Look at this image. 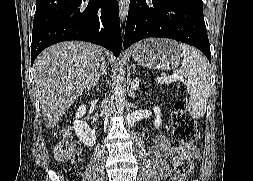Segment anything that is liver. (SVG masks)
I'll return each instance as SVG.
<instances>
[{"instance_id": "1", "label": "liver", "mask_w": 253, "mask_h": 181, "mask_svg": "<svg viewBox=\"0 0 253 181\" xmlns=\"http://www.w3.org/2000/svg\"><path fill=\"white\" fill-rule=\"evenodd\" d=\"M108 52L102 47L66 41L50 46L37 57L33 66L45 125L54 128L74 101L95 86L104 69Z\"/></svg>"}]
</instances>
